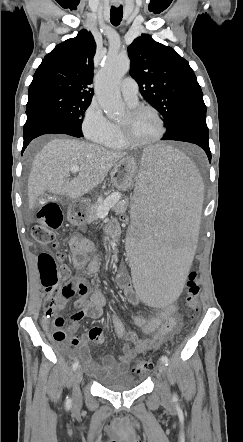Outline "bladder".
I'll return each mask as SVG.
<instances>
[{
  "instance_id": "31cf9c89",
  "label": "bladder",
  "mask_w": 243,
  "mask_h": 442,
  "mask_svg": "<svg viewBox=\"0 0 243 442\" xmlns=\"http://www.w3.org/2000/svg\"><path fill=\"white\" fill-rule=\"evenodd\" d=\"M96 382L104 389L123 392L133 389L140 385V379L134 377L130 372H110L98 376Z\"/></svg>"
}]
</instances>
